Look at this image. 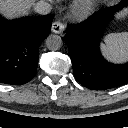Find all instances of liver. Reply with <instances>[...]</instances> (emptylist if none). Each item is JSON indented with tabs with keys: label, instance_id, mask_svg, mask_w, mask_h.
I'll list each match as a JSON object with an SVG mask.
<instances>
[{
	"label": "liver",
	"instance_id": "obj_1",
	"mask_svg": "<svg viewBox=\"0 0 128 128\" xmlns=\"http://www.w3.org/2000/svg\"><path fill=\"white\" fill-rule=\"evenodd\" d=\"M35 4V0H0V13L6 18L25 15Z\"/></svg>",
	"mask_w": 128,
	"mask_h": 128
}]
</instances>
